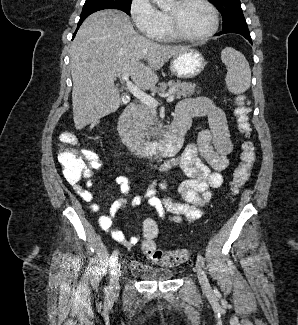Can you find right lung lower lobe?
<instances>
[{
	"label": "right lung lower lobe",
	"mask_w": 298,
	"mask_h": 325,
	"mask_svg": "<svg viewBox=\"0 0 298 325\" xmlns=\"http://www.w3.org/2000/svg\"><path fill=\"white\" fill-rule=\"evenodd\" d=\"M82 22H83V20H79L77 29L79 28V26L81 25Z\"/></svg>",
	"instance_id": "obj_1"
}]
</instances>
